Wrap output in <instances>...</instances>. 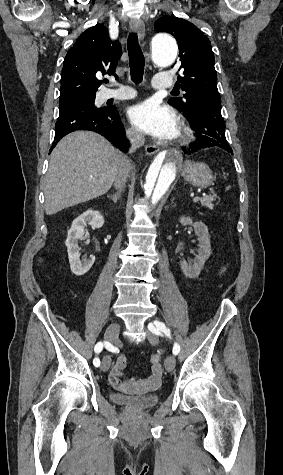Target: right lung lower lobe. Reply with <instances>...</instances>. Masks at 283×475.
<instances>
[{"label": "right lung lower lobe", "mask_w": 283, "mask_h": 475, "mask_svg": "<svg viewBox=\"0 0 283 475\" xmlns=\"http://www.w3.org/2000/svg\"><path fill=\"white\" fill-rule=\"evenodd\" d=\"M76 130L94 131L107 138L113 145L126 152L129 143L116 107L96 108L85 103L61 106L55 124V138L52 148L65 135ZM50 149V152L52 151Z\"/></svg>", "instance_id": "1"}]
</instances>
